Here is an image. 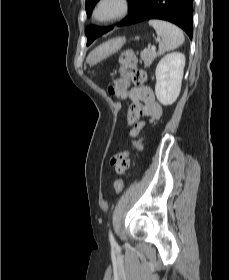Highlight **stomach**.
I'll return each instance as SVG.
<instances>
[{
	"mask_svg": "<svg viewBox=\"0 0 229 280\" xmlns=\"http://www.w3.org/2000/svg\"><path fill=\"white\" fill-rule=\"evenodd\" d=\"M124 43H125L124 37H116L101 44L100 46H98L96 49L92 50L88 54L86 58V64H88L89 66H93L97 64L103 59L119 51Z\"/></svg>",
	"mask_w": 229,
	"mask_h": 280,
	"instance_id": "1",
	"label": "stomach"
}]
</instances>
